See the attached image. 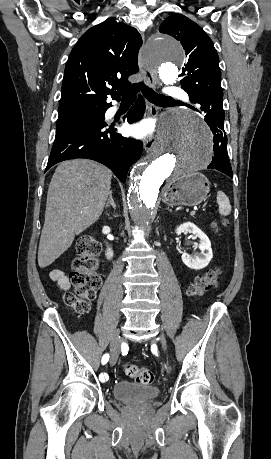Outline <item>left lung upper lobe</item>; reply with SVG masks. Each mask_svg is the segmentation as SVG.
I'll return each mask as SVG.
<instances>
[{
	"instance_id": "1",
	"label": "left lung upper lobe",
	"mask_w": 271,
	"mask_h": 459,
	"mask_svg": "<svg viewBox=\"0 0 271 459\" xmlns=\"http://www.w3.org/2000/svg\"><path fill=\"white\" fill-rule=\"evenodd\" d=\"M159 32L173 36L184 47L186 60L182 68L181 88L190 101L201 105L205 113L224 115L219 57L212 40L195 22L182 14H172Z\"/></svg>"
}]
</instances>
